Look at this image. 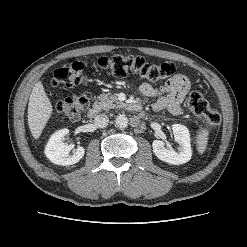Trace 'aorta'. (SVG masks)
<instances>
[{
	"label": "aorta",
	"instance_id": "762f6f07",
	"mask_svg": "<svg viewBox=\"0 0 247 247\" xmlns=\"http://www.w3.org/2000/svg\"><path fill=\"white\" fill-rule=\"evenodd\" d=\"M115 123L119 129H125L128 126V118L125 115H118Z\"/></svg>",
	"mask_w": 247,
	"mask_h": 247
}]
</instances>
